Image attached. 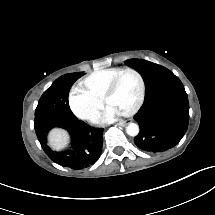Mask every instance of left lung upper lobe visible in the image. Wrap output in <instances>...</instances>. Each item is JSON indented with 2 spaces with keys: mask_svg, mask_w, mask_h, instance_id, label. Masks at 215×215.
<instances>
[{
  "mask_svg": "<svg viewBox=\"0 0 215 215\" xmlns=\"http://www.w3.org/2000/svg\"><path fill=\"white\" fill-rule=\"evenodd\" d=\"M127 64L139 71L146 87L144 104L134 116L140 127L134 143L154 153L173 148L188 128L189 104L184 86L160 65L138 59Z\"/></svg>",
  "mask_w": 215,
  "mask_h": 215,
  "instance_id": "1",
  "label": "left lung upper lobe"
}]
</instances>
